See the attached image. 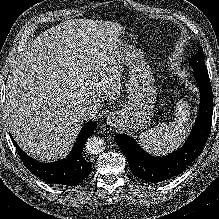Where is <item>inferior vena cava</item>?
Segmentation results:
<instances>
[{
    "label": "inferior vena cava",
    "instance_id": "602c4592",
    "mask_svg": "<svg viewBox=\"0 0 219 219\" xmlns=\"http://www.w3.org/2000/svg\"><path fill=\"white\" fill-rule=\"evenodd\" d=\"M79 113H80V116L86 120L94 118L97 115V111L95 109H91L87 107H82Z\"/></svg>",
    "mask_w": 219,
    "mask_h": 219
}]
</instances>
